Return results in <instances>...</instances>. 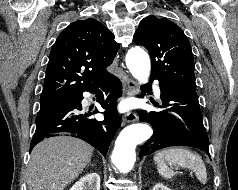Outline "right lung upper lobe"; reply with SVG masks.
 Wrapping results in <instances>:
<instances>
[{"label":"right lung upper lobe","mask_w":238,"mask_h":190,"mask_svg":"<svg viewBox=\"0 0 238 190\" xmlns=\"http://www.w3.org/2000/svg\"><path fill=\"white\" fill-rule=\"evenodd\" d=\"M118 49L114 35L99 21L70 24L51 49L40 103L77 97L112 75L106 67Z\"/></svg>","instance_id":"1"}]
</instances>
